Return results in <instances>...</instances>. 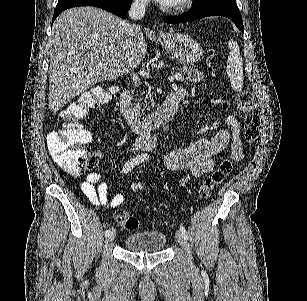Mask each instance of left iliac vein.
<instances>
[{
  "label": "left iliac vein",
  "instance_id": "left-iliac-vein-1",
  "mask_svg": "<svg viewBox=\"0 0 307 301\" xmlns=\"http://www.w3.org/2000/svg\"><path fill=\"white\" fill-rule=\"evenodd\" d=\"M176 239H177L178 244L185 250L188 265L193 267L194 264L192 262V254H191V250L189 248V244L187 243L186 239L184 238V236L182 235V233L180 231L176 232Z\"/></svg>",
  "mask_w": 307,
  "mask_h": 301
}]
</instances>
